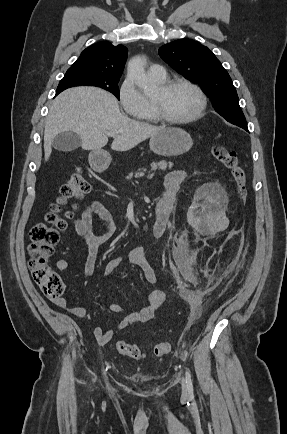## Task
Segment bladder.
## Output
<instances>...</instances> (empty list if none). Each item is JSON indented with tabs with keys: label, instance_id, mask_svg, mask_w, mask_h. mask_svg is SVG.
I'll return each instance as SVG.
<instances>
[{
	"label": "bladder",
	"instance_id": "1",
	"mask_svg": "<svg viewBox=\"0 0 287 434\" xmlns=\"http://www.w3.org/2000/svg\"><path fill=\"white\" fill-rule=\"evenodd\" d=\"M132 379L140 382V383H148L150 381V379L144 375L141 374H135L132 376Z\"/></svg>",
	"mask_w": 287,
	"mask_h": 434
}]
</instances>
